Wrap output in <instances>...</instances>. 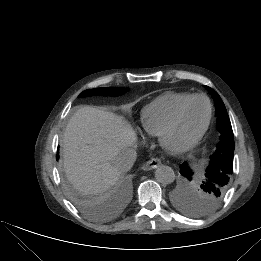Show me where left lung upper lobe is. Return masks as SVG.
<instances>
[{"instance_id": "5c2ea615", "label": "left lung upper lobe", "mask_w": 261, "mask_h": 261, "mask_svg": "<svg viewBox=\"0 0 261 261\" xmlns=\"http://www.w3.org/2000/svg\"><path fill=\"white\" fill-rule=\"evenodd\" d=\"M206 88L214 99L220 142L200 186L191 195L184 194L177 201L178 206L192 216H205L219 206L229 188L233 169L234 135L227 110L218 93ZM191 180L186 178V182Z\"/></svg>"}]
</instances>
